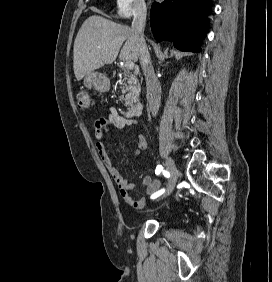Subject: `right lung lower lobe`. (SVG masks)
I'll list each match as a JSON object with an SVG mask.
<instances>
[{"mask_svg": "<svg viewBox=\"0 0 272 282\" xmlns=\"http://www.w3.org/2000/svg\"><path fill=\"white\" fill-rule=\"evenodd\" d=\"M209 11L210 0L154 2L150 12L153 35L159 42L171 41L181 51L200 52ZM191 19L196 21L191 22Z\"/></svg>", "mask_w": 272, "mask_h": 282, "instance_id": "98d812e1", "label": "right lung lower lobe"}]
</instances>
